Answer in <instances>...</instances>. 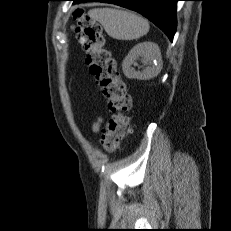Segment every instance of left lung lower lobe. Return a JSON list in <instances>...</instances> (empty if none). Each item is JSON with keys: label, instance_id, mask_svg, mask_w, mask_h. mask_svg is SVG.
I'll return each instance as SVG.
<instances>
[{"label": "left lung lower lobe", "instance_id": "1", "mask_svg": "<svg viewBox=\"0 0 231 231\" xmlns=\"http://www.w3.org/2000/svg\"><path fill=\"white\" fill-rule=\"evenodd\" d=\"M75 3L81 2H105L134 10L157 25L173 40L176 31V2L179 0H71Z\"/></svg>", "mask_w": 231, "mask_h": 231}]
</instances>
